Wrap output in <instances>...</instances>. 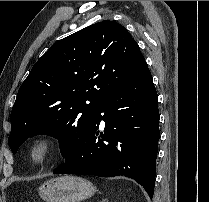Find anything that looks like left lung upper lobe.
I'll return each instance as SVG.
<instances>
[{"label": "left lung upper lobe", "mask_w": 209, "mask_h": 202, "mask_svg": "<svg viewBox=\"0 0 209 202\" xmlns=\"http://www.w3.org/2000/svg\"><path fill=\"white\" fill-rule=\"evenodd\" d=\"M145 65L138 44L114 21L55 43L33 66L11 111L13 154L29 137L59 140L63 157L85 136L97 104Z\"/></svg>", "instance_id": "1"}]
</instances>
